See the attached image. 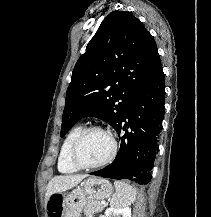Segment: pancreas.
Returning <instances> with one entry per match:
<instances>
[{
    "label": "pancreas",
    "instance_id": "pancreas-1",
    "mask_svg": "<svg viewBox=\"0 0 211 217\" xmlns=\"http://www.w3.org/2000/svg\"><path fill=\"white\" fill-rule=\"evenodd\" d=\"M103 205L98 201L88 200L84 207L86 217H92L94 213H99L103 209Z\"/></svg>",
    "mask_w": 211,
    "mask_h": 217
}]
</instances>
